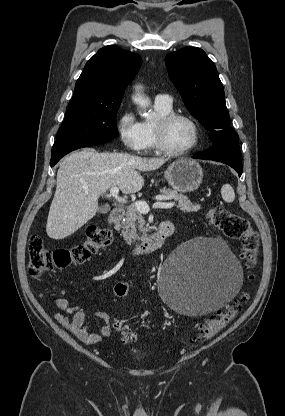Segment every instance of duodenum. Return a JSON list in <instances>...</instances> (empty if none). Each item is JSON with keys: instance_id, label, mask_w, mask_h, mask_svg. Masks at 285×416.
Masks as SVG:
<instances>
[{"instance_id": "duodenum-1", "label": "duodenum", "mask_w": 285, "mask_h": 416, "mask_svg": "<svg viewBox=\"0 0 285 416\" xmlns=\"http://www.w3.org/2000/svg\"><path fill=\"white\" fill-rule=\"evenodd\" d=\"M123 217L124 209L121 207L115 208L111 212L109 219V225L111 229L115 230ZM173 233L174 227L172 222L167 219L162 220L155 232L151 233L132 248L131 254L134 257H141L151 253L161 248L164 243L173 235Z\"/></svg>"}]
</instances>
